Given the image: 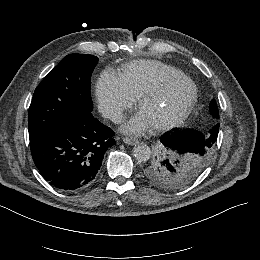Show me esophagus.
Returning a JSON list of instances; mask_svg holds the SVG:
<instances>
[{"label":"esophagus","mask_w":260,"mask_h":260,"mask_svg":"<svg viewBox=\"0 0 260 260\" xmlns=\"http://www.w3.org/2000/svg\"><path fill=\"white\" fill-rule=\"evenodd\" d=\"M123 142L127 145H135L139 143V141L135 138L125 137L123 138Z\"/></svg>","instance_id":"obj_1"}]
</instances>
